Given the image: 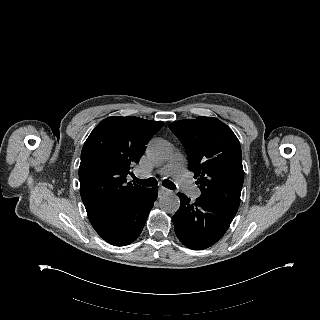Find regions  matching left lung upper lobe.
Segmentation results:
<instances>
[{
  "mask_svg": "<svg viewBox=\"0 0 320 320\" xmlns=\"http://www.w3.org/2000/svg\"><path fill=\"white\" fill-rule=\"evenodd\" d=\"M170 130L183 144L201 198L237 213L244 181L239 140L223 122L197 117L173 122Z\"/></svg>",
  "mask_w": 320,
  "mask_h": 320,
  "instance_id": "obj_1",
  "label": "left lung upper lobe"
}]
</instances>
